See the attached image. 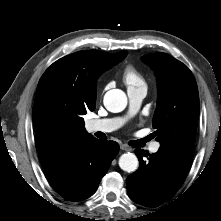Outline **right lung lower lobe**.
Listing matches in <instances>:
<instances>
[{
    "instance_id": "obj_1",
    "label": "right lung lower lobe",
    "mask_w": 221,
    "mask_h": 221,
    "mask_svg": "<svg viewBox=\"0 0 221 221\" xmlns=\"http://www.w3.org/2000/svg\"><path fill=\"white\" fill-rule=\"evenodd\" d=\"M118 151V143L91 136L52 148L39 154V160L63 198L81 201L95 193Z\"/></svg>"
}]
</instances>
